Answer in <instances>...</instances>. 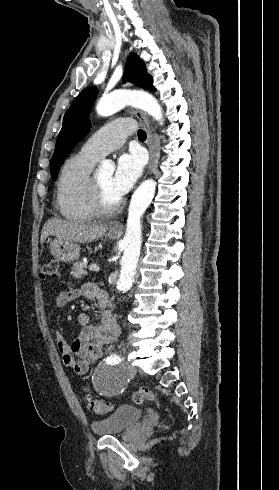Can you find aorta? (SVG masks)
Segmentation results:
<instances>
[{"label": "aorta", "instance_id": "1", "mask_svg": "<svg viewBox=\"0 0 279 490\" xmlns=\"http://www.w3.org/2000/svg\"><path fill=\"white\" fill-rule=\"evenodd\" d=\"M127 105L138 107L146 111L157 121H162V109L158 101L150 94L144 92L115 91L103 96L97 106V113L101 116L112 115ZM102 170L111 174L114 167L111 162L105 161ZM156 191V182L152 179L144 181L133 193L128 209L126 233L122 240L124 253L121 259V271L117 281L119 291H128L134 282L135 270L141 250V217L149 207Z\"/></svg>", "mask_w": 279, "mask_h": 490}]
</instances>
